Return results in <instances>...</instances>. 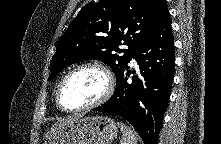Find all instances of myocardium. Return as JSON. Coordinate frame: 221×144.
Listing matches in <instances>:
<instances>
[{"label":"myocardium","instance_id":"myocardium-1","mask_svg":"<svg viewBox=\"0 0 221 144\" xmlns=\"http://www.w3.org/2000/svg\"><path fill=\"white\" fill-rule=\"evenodd\" d=\"M85 68H94V69L101 71L106 78V83H107L106 89H105L103 95L99 99L94 101L93 103L82 106V107H78V108H69L64 105L63 100H62L63 88H64L66 82L68 81V79L73 74H75L77 71L85 69ZM114 87H115L114 77H113L111 71L105 65H103L99 62H85V63L79 64L76 67H74L62 78V80L60 81V83L58 85L57 91H56V104L59 107V109H61L64 112H68V113H77V112L87 111V110L96 108V107L104 104L106 101H108L109 98L113 94Z\"/></svg>","mask_w":221,"mask_h":144}]
</instances>
